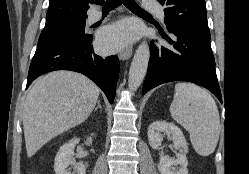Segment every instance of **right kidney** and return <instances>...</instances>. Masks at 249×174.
I'll return each instance as SVG.
<instances>
[{"label":"right kidney","instance_id":"right-kidney-1","mask_svg":"<svg viewBox=\"0 0 249 174\" xmlns=\"http://www.w3.org/2000/svg\"><path fill=\"white\" fill-rule=\"evenodd\" d=\"M78 143L79 139L73 138L68 143H65L60 147L54 161L55 174H71V172L67 169L70 165L74 167L77 174H86L85 166L77 165L75 159L73 158L74 148ZM85 144H92V137H88Z\"/></svg>","mask_w":249,"mask_h":174}]
</instances>
